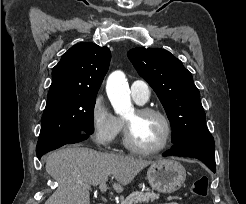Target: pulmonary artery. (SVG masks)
I'll return each mask as SVG.
<instances>
[{
	"instance_id": "pulmonary-artery-1",
	"label": "pulmonary artery",
	"mask_w": 246,
	"mask_h": 204,
	"mask_svg": "<svg viewBox=\"0 0 246 204\" xmlns=\"http://www.w3.org/2000/svg\"><path fill=\"white\" fill-rule=\"evenodd\" d=\"M131 95L138 104L145 103L150 96L148 84L142 80H136L131 84Z\"/></svg>"
}]
</instances>
